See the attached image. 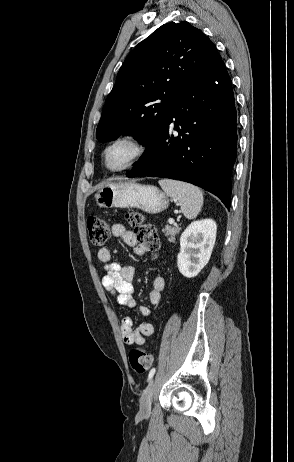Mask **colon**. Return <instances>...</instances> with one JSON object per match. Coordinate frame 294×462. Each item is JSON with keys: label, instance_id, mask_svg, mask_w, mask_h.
<instances>
[{"label": "colon", "instance_id": "5ec220e1", "mask_svg": "<svg viewBox=\"0 0 294 462\" xmlns=\"http://www.w3.org/2000/svg\"><path fill=\"white\" fill-rule=\"evenodd\" d=\"M127 218L138 243L156 257L160 249V241L155 226L147 222L140 213L128 214ZM87 229L90 241L96 246L104 245L109 239V225L100 217H90L87 220ZM129 362L135 372L142 374L151 367L153 356L145 349L135 347L129 352Z\"/></svg>", "mask_w": 294, "mask_h": 462}]
</instances>
